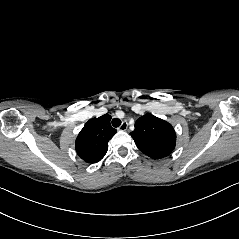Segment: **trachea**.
I'll return each mask as SVG.
<instances>
[{
	"mask_svg": "<svg viewBox=\"0 0 239 239\" xmlns=\"http://www.w3.org/2000/svg\"><path fill=\"white\" fill-rule=\"evenodd\" d=\"M120 125H121V120H120V119L114 118V119L112 120V126H113V127L117 128V127H119Z\"/></svg>",
	"mask_w": 239,
	"mask_h": 239,
	"instance_id": "1",
	"label": "trachea"
}]
</instances>
